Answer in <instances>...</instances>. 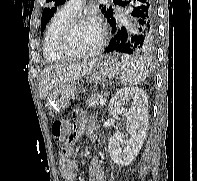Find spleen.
<instances>
[{
  "mask_svg": "<svg viewBox=\"0 0 197 181\" xmlns=\"http://www.w3.org/2000/svg\"><path fill=\"white\" fill-rule=\"evenodd\" d=\"M121 80L125 85H138L146 79L147 69L129 55H122Z\"/></svg>",
  "mask_w": 197,
  "mask_h": 181,
  "instance_id": "spleen-1",
  "label": "spleen"
}]
</instances>
